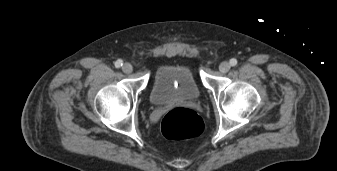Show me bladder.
Wrapping results in <instances>:
<instances>
[{
  "mask_svg": "<svg viewBox=\"0 0 337 171\" xmlns=\"http://www.w3.org/2000/svg\"><path fill=\"white\" fill-rule=\"evenodd\" d=\"M199 97L200 89L189 66L165 64L157 68L150 91L154 105L196 101Z\"/></svg>",
  "mask_w": 337,
  "mask_h": 171,
  "instance_id": "31cf9c89",
  "label": "bladder"
}]
</instances>
